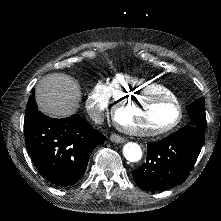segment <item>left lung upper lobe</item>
<instances>
[{
	"mask_svg": "<svg viewBox=\"0 0 221 221\" xmlns=\"http://www.w3.org/2000/svg\"><path fill=\"white\" fill-rule=\"evenodd\" d=\"M189 114L194 126L206 129L205 99H197L189 108Z\"/></svg>",
	"mask_w": 221,
	"mask_h": 221,
	"instance_id": "1",
	"label": "left lung upper lobe"
}]
</instances>
